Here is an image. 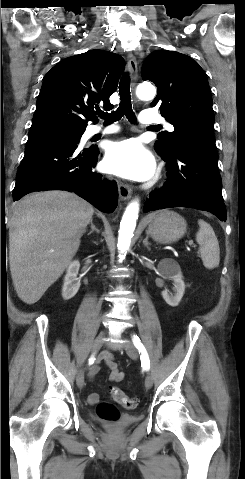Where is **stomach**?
<instances>
[{
    "label": "stomach",
    "mask_w": 245,
    "mask_h": 479,
    "mask_svg": "<svg viewBox=\"0 0 245 479\" xmlns=\"http://www.w3.org/2000/svg\"><path fill=\"white\" fill-rule=\"evenodd\" d=\"M185 219L173 211H162L150 222L147 230L152 239L161 244L176 242L186 232Z\"/></svg>",
    "instance_id": "stomach-1"
}]
</instances>
